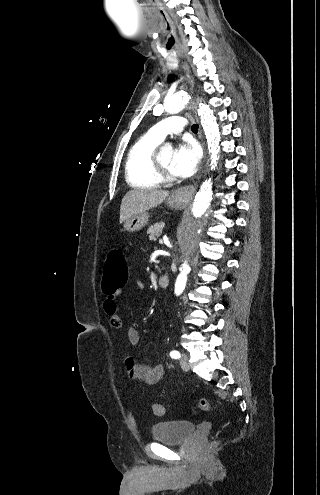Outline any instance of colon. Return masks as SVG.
Returning a JSON list of instances; mask_svg holds the SVG:
<instances>
[{
	"label": "colon",
	"mask_w": 320,
	"mask_h": 495,
	"mask_svg": "<svg viewBox=\"0 0 320 495\" xmlns=\"http://www.w3.org/2000/svg\"><path fill=\"white\" fill-rule=\"evenodd\" d=\"M127 278L128 264L124 254L119 250H112L104 266L102 282L104 291L106 293L118 292L126 283ZM197 408L201 411H210L212 406L207 399H201L197 403ZM152 410L156 416H162L164 414V407L161 404H154Z\"/></svg>",
	"instance_id": "5ec220e1"
}]
</instances>
